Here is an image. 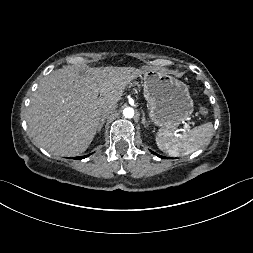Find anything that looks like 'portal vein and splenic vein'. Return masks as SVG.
<instances>
[{
    "label": "portal vein and splenic vein",
    "mask_w": 253,
    "mask_h": 253,
    "mask_svg": "<svg viewBox=\"0 0 253 253\" xmlns=\"http://www.w3.org/2000/svg\"><path fill=\"white\" fill-rule=\"evenodd\" d=\"M95 94L98 95V92H96ZM187 130H190V126H189V124L185 123L184 128L180 129V131L185 132Z\"/></svg>",
    "instance_id": "obj_1"
}]
</instances>
